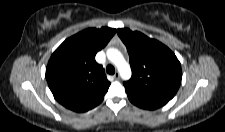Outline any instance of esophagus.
I'll use <instances>...</instances> for the list:
<instances>
[{
  "label": "esophagus",
  "instance_id": "1",
  "mask_svg": "<svg viewBox=\"0 0 225 132\" xmlns=\"http://www.w3.org/2000/svg\"><path fill=\"white\" fill-rule=\"evenodd\" d=\"M113 78L115 80H119L120 79V74L119 73H115L114 76H113Z\"/></svg>",
  "mask_w": 225,
  "mask_h": 132
}]
</instances>
